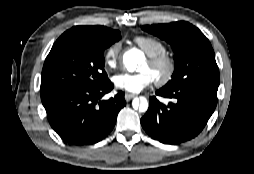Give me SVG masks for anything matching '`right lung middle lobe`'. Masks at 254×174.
<instances>
[{"instance_id":"right-lung-middle-lobe-1","label":"right lung middle lobe","mask_w":254,"mask_h":174,"mask_svg":"<svg viewBox=\"0 0 254 174\" xmlns=\"http://www.w3.org/2000/svg\"><path fill=\"white\" fill-rule=\"evenodd\" d=\"M119 31L103 40L63 33L48 54L41 78V96L74 88L96 87L108 80L104 49L120 40Z\"/></svg>"}]
</instances>
